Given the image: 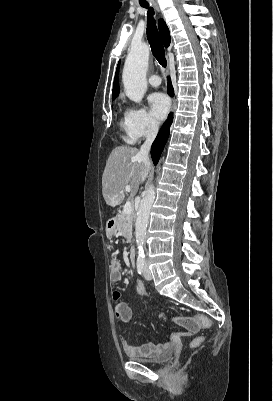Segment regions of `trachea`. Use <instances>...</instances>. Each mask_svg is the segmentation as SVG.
Masks as SVG:
<instances>
[{
  "label": "trachea",
  "instance_id": "obj_1",
  "mask_svg": "<svg viewBox=\"0 0 273 401\" xmlns=\"http://www.w3.org/2000/svg\"><path fill=\"white\" fill-rule=\"evenodd\" d=\"M142 7L148 8V5H142ZM153 15H154L153 8H149L147 14V38L151 46V50L154 57L156 58L158 63L162 65V67H166L167 61L165 57L164 46L160 34L158 32V29L156 27V22L153 18Z\"/></svg>",
  "mask_w": 273,
  "mask_h": 401
}]
</instances>
